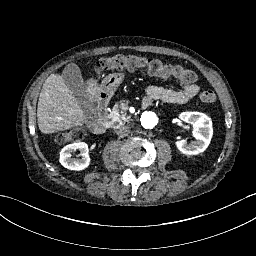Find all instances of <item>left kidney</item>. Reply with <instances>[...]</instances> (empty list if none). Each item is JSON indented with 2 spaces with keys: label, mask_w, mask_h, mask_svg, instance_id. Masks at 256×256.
Wrapping results in <instances>:
<instances>
[{
  "label": "left kidney",
  "mask_w": 256,
  "mask_h": 256,
  "mask_svg": "<svg viewBox=\"0 0 256 256\" xmlns=\"http://www.w3.org/2000/svg\"><path fill=\"white\" fill-rule=\"evenodd\" d=\"M180 119L194 129L195 142L188 144L186 140L175 141V147L184 155H198L206 151L211 141L212 121L207 115L199 112H184Z\"/></svg>",
  "instance_id": "left-kidney-1"
}]
</instances>
